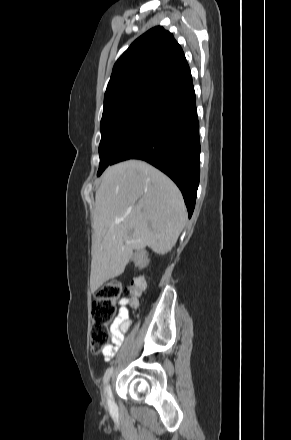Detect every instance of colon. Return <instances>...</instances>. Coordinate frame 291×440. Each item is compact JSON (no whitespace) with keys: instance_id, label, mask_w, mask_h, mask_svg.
<instances>
[{"instance_id":"5ec220e1","label":"colon","mask_w":291,"mask_h":440,"mask_svg":"<svg viewBox=\"0 0 291 440\" xmlns=\"http://www.w3.org/2000/svg\"><path fill=\"white\" fill-rule=\"evenodd\" d=\"M144 289L145 282L140 277L133 278L127 288H122L117 281L107 282L98 288L90 317L89 341L93 353L104 352L110 344L108 327L116 312V300L123 296L135 308Z\"/></svg>"}]
</instances>
